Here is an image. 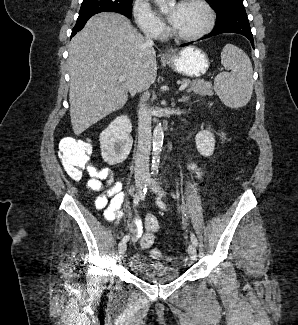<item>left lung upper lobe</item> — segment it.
I'll list each match as a JSON object with an SVG mask.
<instances>
[{"label":"left lung upper lobe","mask_w":298,"mask_h":325,"mask_svg":"<svg viewBox=\"0 0 298 325\" xmlns=\"http://www.w3.org/2000/svg\"><path fill=\"white\" fill-rule=\"evenodd\" d=\"M213 5L217 20L222 19L228 13L235 10L245 9L243 6V0H209Z\"/></svg>","instance_id":"left-lung-upper-lobe-1"}]
</instances>
